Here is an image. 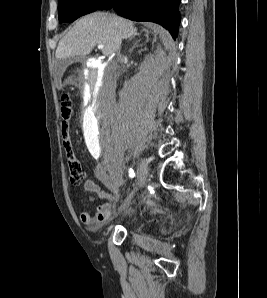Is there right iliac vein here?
Masks as SVG:
<instances>
[{
  "mask_svg": "<svg viewBox=\"0 0 267 298\" xmlns=\"http://www.w3.org/2000/svg\"><path fill=\"white\" fill-rule=\"evenodd\" d=\"M148 175V162L146 159H141L139 168H138V185L139 187H143L146 183V177ZM134 196V192L130 194V196L127 198V200L124 202V204L121 207V210H124L128 204L131 202V199Z\"/></svg>",
  "mask_w": 267,
  "mask_h": 298,
  "instance_id": "1",
  "label": "right iliac vein"
}]
</instances>
